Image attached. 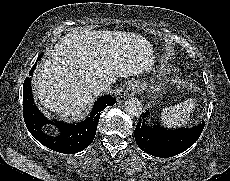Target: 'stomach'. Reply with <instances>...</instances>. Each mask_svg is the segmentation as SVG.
Returning a JSON list of instances; mask_svg holds the SVG:
<instances>
[{"label":"stomach","instance_id":"1","mask_svg":"<svg viewBox=\"0 0 230 181\" xmlns=\"http://www.w3.org/2000/svg\"><path fill=\"white\" fill-rule=\"evenodd\" d=\"M154 91H158V92L161 91L160 86H158V85L155 86V87H154Z\"/></svg>","mask_w":230,"mask_h":181}]
</instances>
